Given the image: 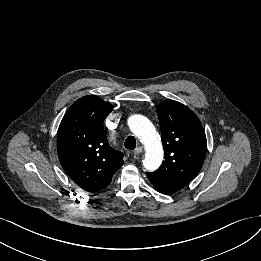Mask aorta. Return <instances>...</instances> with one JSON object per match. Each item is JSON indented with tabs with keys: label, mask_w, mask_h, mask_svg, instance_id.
<instances>
[{
	"label": "aorta",
	"mask_w": 261,
	"mask_h": 261,
	"mask_svg": "<svg viewBox=\"0 0 261 261\" xmlns=\"http://www.w3.org/2000/svg\"><path fill=\"white\" fill-rule=\"evenodd\" d=\"M130 130L143 143L146 153L143 166L148 171L157 170L163 161V147L155 127L146 117L135 114L128 119Z\"/></svg>",
	"instance_id": "1"
}]
</instances>
